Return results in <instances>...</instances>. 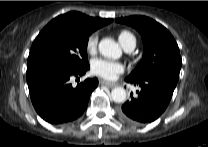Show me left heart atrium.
<instances>
[{"instance_id": "1", "label": "left heart atrium", "mask_w": 208, "mask_h": 147, "mask_svg": "<svg viewBox=\"0 0 208 147\" xmlns=\"http://www.w3.org/2000/svg\"><path fill=\"white\" fill-rule=\"evenodd\" d=\"M91 71L101 78L115 80L124 72V65L118 61L96 58L91 63Z\"/></svg>"}]
</instances>
